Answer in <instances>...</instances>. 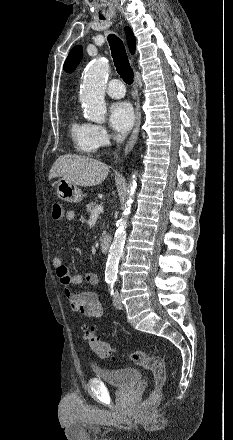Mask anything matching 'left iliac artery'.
Wrapping results in <instances>:
<instances>
[{"instance_id":"obj_1","label":"left iliac artery","mask_w":233,"mask_h":440,"mask_svg":"<svg viewBox=\"0 0 233 440\" xmlns=\"http://www.w3.org/2000/svg\"><path fill=\"white\" fill-rule=\"evenodd\" d=\"M113 292L114 290H113V282H112V284L110 285V294L113 295Z\"/></svg>"}]
</instances>
